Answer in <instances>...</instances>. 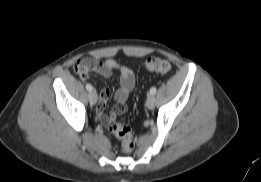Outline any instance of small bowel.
Listing matches in <instances>:
<instances>
[{"label": "small bowel", "mask_w": 261, "mask_h": 182, "mask_svg": "<svg viewBox=\"0 0 261 182\" xmlns=\"http://www.w3.org/2000/svg\"><path fill=\"white\" fill-rule=\"evenodd\" d=\"M82 61L87 64L89 72L94 71L104 77L111 76L114 71H119L120 73V85L115 93L117 105L109 113L105 112V108L111 94L110 89L103 88L100 91L99 95V101L96 108V116L101 123L108 124L118 115L123 114L127 109L126 101L135 85L133 70L128 66L119 64L113 59H106L102 62H99L93 59L86 58ZM80 77L83 80H87L89 78V74Z\"/></svg>", "instance_id": "obj_1"}]
</instances>
